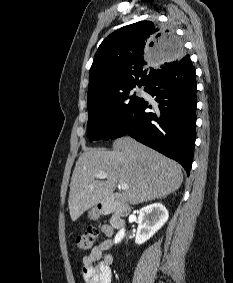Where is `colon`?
Listing matches in <instances>:
<instances>
[{"instance_id":"5ec220e1","label":"colon","mask_w":233,"mask_h":283,"mask_svg":"<svg viewBox=\"0 0 233 283\" xmlns=\"http://www.w3.org/2000/svg\"><path fill=\"white\" fill-rule=\"evenodd\" d=\"M98 237V229L90 226L85 229L74 241V246L79 250H88L92 248Z\"/></svg>"}]
</instances>
